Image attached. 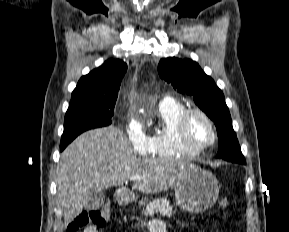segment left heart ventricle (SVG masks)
Returning <instances> with one entry per match:
<instances>
[{
  "mask_svg": "<svg viewBox=\"0 0 289 232\" xmlns=\"http://www.w3.org/2000/svg\"><path fill=\"white\" fill-rule=\"evenodd\" d=\"M189 139L197 145L206 144L211 140L212 133L208 123L199 115H193L188 124Z\"/></svg>",
  "mask_w": 289,
  "mask_h": 232,
  "instance_id": "b2bd125f",
  "label": "left heart ventricle"
}]
</instances>
